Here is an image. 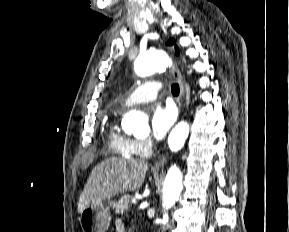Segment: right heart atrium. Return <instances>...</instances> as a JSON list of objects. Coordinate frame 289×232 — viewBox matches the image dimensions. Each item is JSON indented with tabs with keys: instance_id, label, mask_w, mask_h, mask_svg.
<instances>
[{
	"instance_id": "d8ad5b80",
	"label": "right heart atrium",
	"mask_w": 289,
	"mask_h": 232,
	"mask_svg": "<svg viewBox=\"0 0 289 232\" xmlns=\"http://www.w3.org/2000/svg\"><path fill=\"white\" fill-rule=\"evenodd\" d=\"M152 148V142L149 139H137L134 140V150L137 155H147Z\"/></svg>"
}]
</instances>
